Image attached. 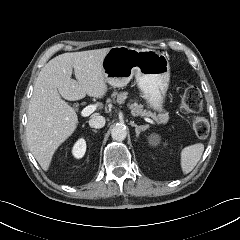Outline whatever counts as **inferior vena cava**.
Wrapping results in <instances>:
<instances>
[{"instance_id": "1", "label": "inferior vena cava", "mask_w": 240, "mask_h": 240, "mask_svg": "<svg viewBox=\"0 0 240 240\" xmlns=\"http://www.w3.org/2000/svg\"><path fill=\"white\" fill-rule=\"evenodd\" d=\"M89 125L92 128H102L105 125V118L101 115H93L89 120Z\"/></svg>"}]
</instances>
